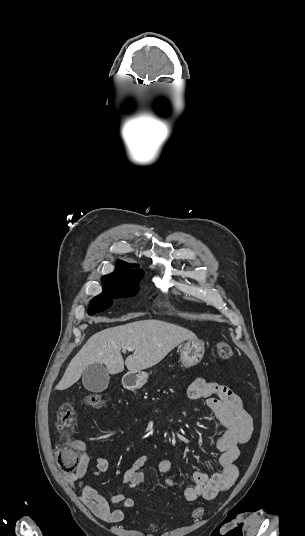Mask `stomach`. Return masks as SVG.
<instances>
[{
    "mask_svg": "<svg viewBox=\"0 0 305 536\" xmlns=\"http://www.w3.org/2000/svg\"><path fill=\"white\" fill-rule=\"evenodd\" d=\"M205 348L202 340H187L181 348L180 360L184 368H191L201 362L204 356ZM126 378L130 380V388H141L148 380V374L145 372H132Z\"/></svg>",
    "mask_w": 305,
    "mask_h": 536,
    "instance_id": "obj_1",
    "label": "stomach"
}]
</instances>
